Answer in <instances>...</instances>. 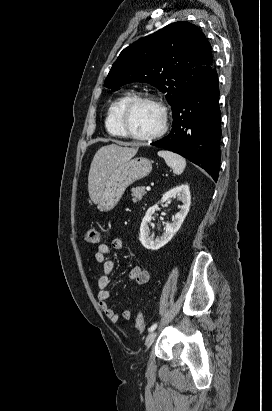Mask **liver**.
Masks as SVG:
<instances>
[{
  "label": "liver",
  "mask_w": 272,
  "mask_h": 411,
  "mask_svg": "<svg viewBox=\"0 0 272 411\" xmlns=\"http://www.w3.org/2000/svg\"><path fill=\"white\" fill-rule=\"evenodd\" d=\"M138 147L129 148L116 144L101 147L92 160L88 176V192L93 203L99 202L103 187L113 170L131 159Z\"/></svg>",
  "instance_id": "liver-1"
}]
</instances>
